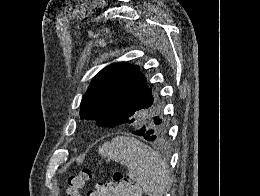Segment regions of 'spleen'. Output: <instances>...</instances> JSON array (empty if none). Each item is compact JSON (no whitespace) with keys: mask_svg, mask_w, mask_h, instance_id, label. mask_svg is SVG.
I'll return each instance as SVG.
<instances>
[{"mask_svg":"<svg viewBox=\"0 0 260 196\" xmlns=\"http://www.w3.org/2000/svg\"><path fill=\"white\" fill-rule=\"evenodd\" d=\"M98 154L127 166L126 176L142 188L145 196H164L170 188L168 164L158 152L136 138L117 136L99 146Z\"/></svg>","mask_w":260,"mask_h":196,"instance_id":"obj_1","label":"spleen"}]
</instances>
